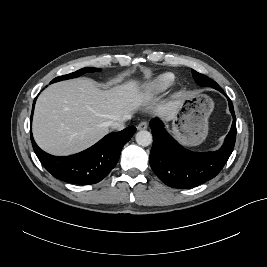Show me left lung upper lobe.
I'll return each mask as SVG.
<instances>
[{
	"label": "left lung upper lobe",
	"mask_w": 267,
	"mask_h": 267,
	"mask_svg": "<svg viewBox=\"0 0 267 267\" xmlns=\"http://www.w3.org/2000/svg\"><path fill=\"white\" fill-rule=\"evenodd\" d=\"M193 77L195 79V82L200 86H209L212 88H215L216 86H219L216 82H214L212 79L208 78L207 76L200 74L196 72L195 70H192Z\"/></svg>",
	"instance_id": "obj_1"
}]
</instances>
